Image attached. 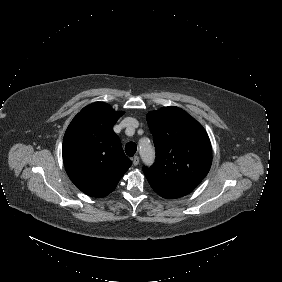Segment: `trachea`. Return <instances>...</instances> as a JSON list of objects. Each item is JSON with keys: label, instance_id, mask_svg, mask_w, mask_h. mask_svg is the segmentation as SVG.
Here are the masks:
<instances>
[{"label": "trachea", "instance_id": "1", "mask_svg": "<svg viewBox=\"0 0 282 282\" xmlns=\"http://www.w3.org/2000/svg\"><path fill=\"white\" fill-rule=\"evenodd\" d=\"M137 150V146L134 142H129L125 146V152L129 157H132Z\"/></svg>", "mask_w": 282, "mask_h": 282}]
</instances>
